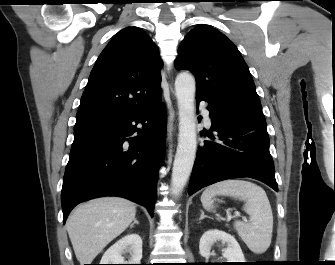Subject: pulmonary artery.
<instances>
[{
	"label": "pulmonary artery",
	"mask_w": 335,
	"mask_h": 265,
	"mask_svg": "<svg viewBox=\"0 0 335 265\" xmlns=\"http://www.w3.org/2000/svg\"><path fill=\"white\" fill-rule=\"evenodd\" d=\"M202 113H203L205 122H206L208 125H210V124H211V120H210V116H209V111H208V109L206 108L205 105H202Z\"/></svg>",
	"instance_id": "e3ab8cb5"
}]
</instances>
